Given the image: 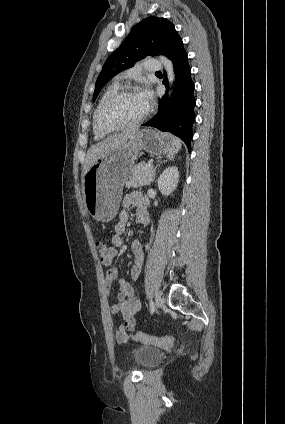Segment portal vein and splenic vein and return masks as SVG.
<instances>
[{
  "label": "portal vein and splenic vein",
  "instance_id": "1",
  "mask_svg": "<svg viewBox=\"0 0 285 424\" xmlns=\"http://www.w3.org/2000/svg\"><path fill=\"white\" fill-rule=\"evenodd\" d=\"M150 167H152V163L151 162H149V163L146 164L145 170L149 169Z\"/></svg>",
  "mask_w": 285,
  "mask_h": 424
}]
</instances>
